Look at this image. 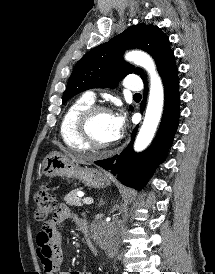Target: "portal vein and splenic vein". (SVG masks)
I'll list each match as a JSON object with an SVG mask.
<instances>
[{
	"label": "portal vein and splenic vein",
	"mask_w": 215,
	"mask_h": 274,
	"mask_svg": "<svg viewBox=\"0 0 215 274\" xmlns=\"http://www.w3.org/2000/svg\"><path fill=\"white\" fill-rule=\"evenodd\" d=\"M82 202L86 205H90L93 203V199L90 197H85V198H83Z\"/></svg>",
	"instance_id": "obj_1"
}]
</instances>
